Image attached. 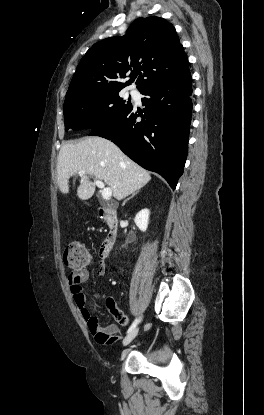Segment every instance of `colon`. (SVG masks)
<instances>
[{
    "label": "colon",
    "instance_id": "colon-1",
    "mask_svg": "<svg viewBox=\"0 0 264 415\" xmlns=\"http://www.w3.org/2000/svg\"><path fill=\"white\" fill-rule=\"evenodd\" d=\"M63 263L68 270L75 271L78 268L88 267L92 263V257L82 244L75 242L66 247ZM113 314L121 321L122 315L117 310H113Z\"/></svg>",
    "mask_w": 264,
    "mask_h": 415
}]
</instances>
